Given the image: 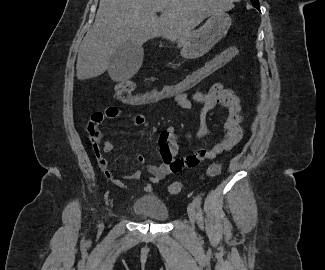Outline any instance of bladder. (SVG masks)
<instances>
[{
  "label": "bladder",
  "instance_id": "bladder-1",
  "mask_svg": "<svg viewBox=\"0 0 325 270\" xmlns=\"http://www.w3.org/2000/svg\"><path fill=\"white\" fill-rule=\"evenodd\" d=\"M132 211L142 218L155 221H167L170 217L167 205L157 195L137 197L132 204Z\"/></svg>",
  "mask_w": 325,
  "mask_h": 270
}]
</instances>
